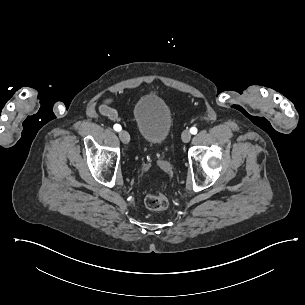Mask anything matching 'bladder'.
<instances>
[{"mask_svg": "<svg viewBox=\"0 0 305 305\" xmlns=\"http://www.w3.org/2000/svg\"><path fill=\"white\" fill-rule=\"evenodd\" d=\"M132 118L143 141L161 145L168 139L173 124V109L162 96L148 92L134 101Z\"/></svg>", "mask_w": 305, "mask_h": 305, "instance_id": "bladder-1", "label": "bladder"}]
</instances>
